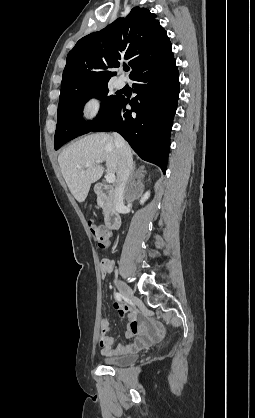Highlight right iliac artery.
<instances>
[{
    "label": "right iliac artery",
    "mask_w": 255,
    "mask_h": 418,
    "mask_svg": "<svg viewBox=\"0 0 255 418\" xmlns=\"http://www.w3.org/2000/svg\"><path fill=\"white\" fill-rule=\"evenodd\" d=\"M115 298H116V300H118L120 302L122 301V295L118 292H115Z\"/></svg>",
    "instance_id": "82829eb1"
}]
</instances>
